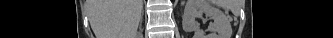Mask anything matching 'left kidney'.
<instances>
[{
	"instance_id": "1",
	"label": "left kidney",
	"mask_w": 333,
	"mask_h": 38,
	"mask_svg": "<svg viewBox=\"0 0 333 38\" xmlns=\"http://www.w3.org/2000/svg\"><path fill=\"white\" fill-rule=\"evenodd\" d=\"M203 14L213 20L208 26L209 34L200 29V24L196 21V18ZM182 25L185 31L194 32L193 38H231L232 35V28L227 16L208 0H187Z\"/></svg>"
}]
</instances>
